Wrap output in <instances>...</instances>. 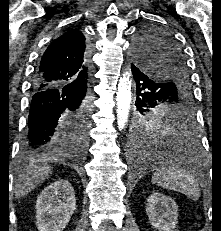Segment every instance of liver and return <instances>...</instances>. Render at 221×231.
<instances>
[{
  "mask_svg": "<svg viewBox=\"0 0 221 231\" xmlns=\"http://www.w3.org/2000/svg\"><path fill=\"white\" fill-rule=\"evenodd\" d=\"M45 158H41L40 161H45ZM51 168L46 164L33 165L25 172L20 174L14 185V193L16 198H21L27 195L36 186L40 185L51 174Z\"/></svg>",
  "mask_w": 221,
  "mask_h": 231,
  "instance_id": "obj_1",
  "label": "liver"
}]
</instances>
